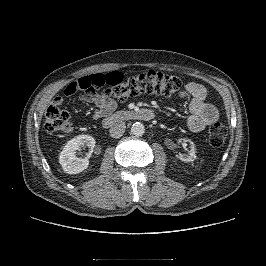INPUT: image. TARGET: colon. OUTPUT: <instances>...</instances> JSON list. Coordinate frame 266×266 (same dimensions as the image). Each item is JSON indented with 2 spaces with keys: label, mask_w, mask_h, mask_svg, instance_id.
I'll return each instance as SVG.
<instances>
[{
  "label": "colon",
  "mask_w": 266,
  "mask_h": 266,
  "mask_svg": "<svg viewBox=\"0 0 266 266\" xmlns=\"http://www.w3.org/2000/svg\"><path fill=\"white\" fill-rule=\"evenodd\" d=\"M182 86L179 77L150 70L128 77L120 72L112 71L107 74H91L78 78L71 82L65 89L66 95L75 93H87L97 88L106 87V94L119 101H124L130 96L144 92L156 93L163 96H171L177 93ZM51 105L45 113L44 127L49 133L68 132L70 130L69 115ZM227 137V128L221 124H214L209 130V142L214 147L223 145Z\"/></svg>",
  "instance_id": "obj_1"
}]
</instances>
